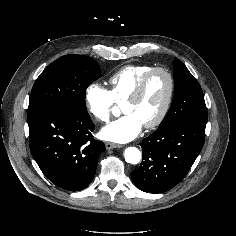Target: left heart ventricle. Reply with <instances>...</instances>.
Segmentation results:
<instances>
[{"instance_id":"obj_1","label":"left heart ventricle","mask_w":236,"mask_h":236,"mask_svg":"<svg viewBox=\"0 0 236 236\" xmlns=\"http://www.w3.org/2000/svg\"><path fill=\"white\" fill-rule=\"evenodd\" d=\"M167 88L166 76L162 73H155L138 100L124 103V113L136 114L143 124L153 121L164 104Z\"/></svg>"}]
</instances>
